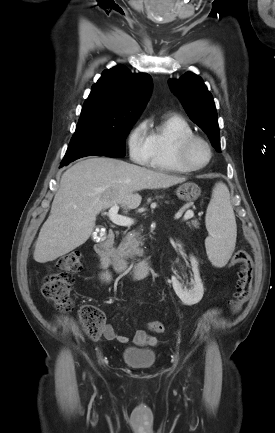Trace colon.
Masks as SVG:
<instances>
[{"instance_id": "1", "label": "colon", "mask_w": 275, "mask_h": 433, "mask_svg": "<svg viewBox=\"0 0 275 433\" xmlns=\"http://www.w3.org/2000/svg\"><path fill=\"white\" fill-rule=\"evenodd\" d=\"M232 262L240 265L236 290L229 300L232 313H238L248 302L253 283L254 265L248 252L238 250ZM55 271L46 275L42 284L44 298L55 304L63 311L73 309L71 289L75 276L82 269L81 254L79 251L68 252L59 257L55 263ZM79 319L83 330L90 339H97L101 335L104 324V314L95 305L83 304L79 308ZM150 331L161 333L165 327L161 321H153L148 324Z\"/></svg>"}]
</instances>
